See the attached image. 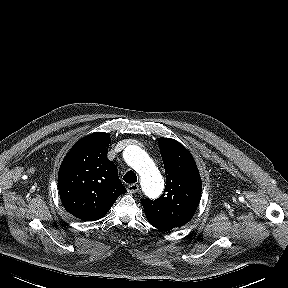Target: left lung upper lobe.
<instances>
[{
	"mask_svg": "<svg viewBox=\"0 0 288 288\" xmlns=\"http://www.w3.org/2000/svg\"><path fill=\"white\" fill-rule=\"evenodd\" d=\"M159 148L166 172L165 191L155 200L143 199L147 219L173 229L193 217L201 199L202 182L189 151L179 142L160 138Z\"/></svg>",
	"mask_w": 288,
	"mask_h": 288,
	"instance_id": "left-lung-upper-lobe-1",
	"label": "left lung upper lobe"
}]
</instances>
